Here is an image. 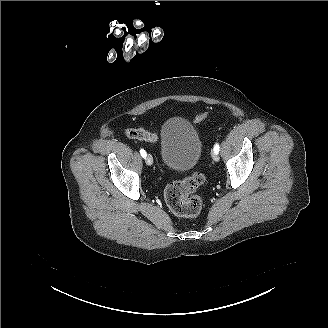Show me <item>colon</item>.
Instances as JSON below:
<instances>
[{"mask_svg":"<svg viewBox=\"0 0 328 328\" xmlns=\"http://www.w3.org/2000/svg\"><path fill=\"white\" fill-rule=\"evenodd\" d=\"M207 116L202 112L195 116L194 121L200 122ZM126 135L135 140L144 142H156V135L144 129H129ZM205 182V177L200 172H194L188 177L169 183L165 189V202L169 210L176 216L182 218H195L203 208L202 197L196 191Z\"/></svg>","mask_w":328,"mask_h":328,"instance_id":"1","label":"colon"}]
</instances>
